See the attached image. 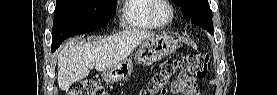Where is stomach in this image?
I'll list each match as a JSON object with an SVG mask.
<instances>
[{
	"label": "stomach",
	"mask_w": 277,
	"mask_h": 95,
	"mask_svg": "<svg viewBox=\"0 0 277 95\" xmlns=\"http://www.w3.org/2000/svg\"><path fill=\"white\" fill-rule=\"evenodd\" d=\"M177 48V40L168 35L154 36L143 41L136 51L134 60L137 64L150 65L161 60ZM133 71L132 59H125L112 69L105 71L103 79L106 82L114 83L127 80Z\"/></svg>",
	"instance_id": "1"
}]
</instances>
